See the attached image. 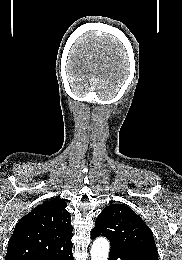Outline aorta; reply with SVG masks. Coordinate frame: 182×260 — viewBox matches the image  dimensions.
Wrapping results in <instances>:
<instances>
[{
  "label": "aorta",
  "instance_id": "1",
  "mask_svg": "<svg viewBox=\"0 0 182 260\" xmlns=\"http://www.w3.org/2000/svg\"><path fill=\"white\" fill-rule=\"evenodd\" d=\"M109 242L103 237L97 238L91 248V260H108Z\"/></svg>",
  "mask_w": 182,
  "mask_h": 260
}]
</instances>
